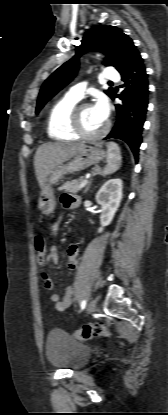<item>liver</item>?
<instances>
[{"label": "liver", "mask_w": 168, "mask_h": 415, "mask_svg": "<svg viewBox=\"0 0 168 415\" xmlns=\"http://www.w3.org/2000/svg\"><path fill=\"white\" fill-rule=\"evenodd\" d=\"M83 147V143L67 142L41 145L34 157L35 173L39 186L43 188L51 171L74 157Z\"/></svg>", "instance_id": "6515ba94"}]
</instances>
